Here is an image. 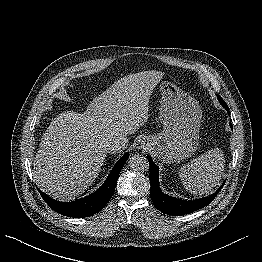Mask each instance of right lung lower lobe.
<instances>
[{
	"mask_svg": "<svg viewBox=\"0 0 262 262\" xmlns=\"http://www.w3.org/2000/svg\"><path fill=\"white\" fill-rule=\"evenodd\" d=\"M129 158V153L123 155L115 164L104 184L91 195L72 202H59L38 189L40 195L51 209L68 217H88L98 213L111 199L119 173Z\"/></svg>",
	"mask_w": 262,
	"mask_h": 262,
	"instance_id": "1",
	"label": "right lung lower lobe"
}]
</instances>
